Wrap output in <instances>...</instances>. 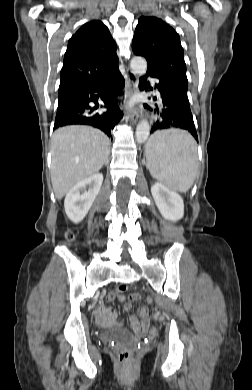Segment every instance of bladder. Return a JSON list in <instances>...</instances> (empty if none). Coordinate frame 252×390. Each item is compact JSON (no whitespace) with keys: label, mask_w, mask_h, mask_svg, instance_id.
<instances>
[{"label":"bladder","mask_w":252,"mask_h":390,"mask_svg":"<svg viewBox=\"0 0 252 390\" xmlns=\"http://www.w3.org/2000/svg\"><path fill=\"white\" fill-rule=\"evenodd\" d=\"M97 337L101 340L119 339L126 342L133 339L131 334L118 328H101Z\"/></svg>","instance_id":"obj_1"}]
</instances>
